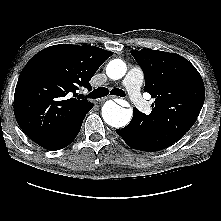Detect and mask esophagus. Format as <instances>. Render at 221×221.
<instances>
[{
  "label": "esophagus",
  "mask_w": 221,
  "mask_h": 221,
  "mask_svg": "<svg viewBox=\"0 0 221 221\" xmlns=\"http://www.w3.org/2000/svg\"><path fill=\"white\" fill-rule=\"evenodd\" d=\"M109 97H105V98H102L100 101H105V100H107ZM111 98H113V97H111ZM114 100H117V99H114Z\"/></svg>",
  "instance_id": "34e87169"
}]
</instances>
